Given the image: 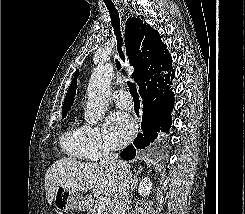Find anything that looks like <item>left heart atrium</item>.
<instances>
[{"label": "left heart atrium", "instance_id": "39dd6f15", "mask_svg": "<svg viewBox=\"0 0 245 214\" xmlns=\"http://www.w3.org/2000/svg\"><path fill=\"white\" fill-rule=\"evenodd\" d=\"M136 126L132 118L121 111L111 113L105 121V135L108 144L118 149L127 144L133 137Z\"/></svg>", "mask_w": 245, "mask_h": 214}]
</instances>
